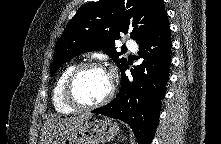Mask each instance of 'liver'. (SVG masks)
Instances as JSON below:
<instances>
[{
	"label": "liver",
	"mask_w": 221,
	"mask_h": 144,
	"mask_svg": "<svg viewBox=\"0 0 221 144\" xmlns=\"http://www.w3.org/2000/svg\"><path fill=\"white\" fill-rule=\"evenodd\" d=\"M92 117L91 114L79 115L75 117L50 118L44 122L40 136V144H46L51 137L65 129L77 127L87 122Z\"/></svg>",
	"instance_id": "obj_1"
}]
</instances>
